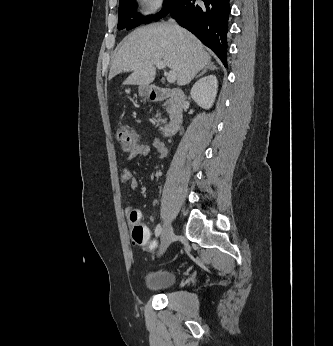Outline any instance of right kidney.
<instances>
[{
	"label": "right kidney",
	"mask_w": 333,
	"mask_h": 346,
	"mask_svg": "<svg viewBox=\"0 0 333 346\" xmlns=\"http://www.w3.org/2000/svg\"><path fill=\"white\" fill-rule=\"evenodd\" d=\"M218 89V81L215 75H209L199 79L191 89L192 99L204 109L212 107Z\"/></svg>",
	"instance_id": "1"
}]
</instances>
